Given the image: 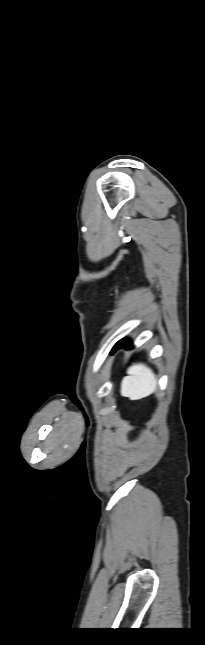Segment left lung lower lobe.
I'll return each mask as SVG.
<instances>
[{"label": "left lung lower lobe", "instance_id": "obj_1", "mask_svg": "<svg viewBox=\"0 0 205 645\" xmlns=\"http://www.w3.org/2000/svg\"><path fill=\"white\" fill-rule=\"evenodd\" d=\"M132 345V342L129 339H121L118 341L115 346L113 347L111 354L114 353L117 349L122 348V347H129Z\"/></svg>", "mask_w": 205, "mask_h": 645}]
</instances>
